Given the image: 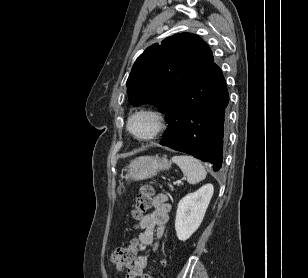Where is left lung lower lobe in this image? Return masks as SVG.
Segmentation results:
<instances>
[{
	"label": "left lung lower lobe",
	"mask_w": 308,
	"mask_h": 278,
	"mask_svg": "<svg viewBox=\"0 0 308 278\" xmlns=\"http://www.w3.org/2000/svg\"><path fill=\"white\" fill-rule=\"evenodd\" d=\"M228 102L225 79L214 63L192 80L165 112L169 126L160 144L209 162L218 171Z\"/></svg>",
	"instance_id": "0a47b994"
}]
</instances>
